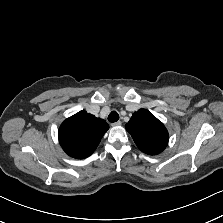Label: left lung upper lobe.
<instances>
[{"instance_id":"1","label":"left lung upper lobe","mask_w":223,"mask_h":223,"mask_svg":"<svg viewBox=\"0 0 223 223\" xmlns=\"http://www.w3.org/2000/svg\"><path fill=\"white\" fill-rule=\"evenodd\" d=\"M138 148L149 155L161 153L168 144V131L148 110L140 109L133 113L126 124Z\"/></svg>"}]
</instances>
